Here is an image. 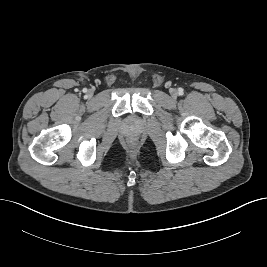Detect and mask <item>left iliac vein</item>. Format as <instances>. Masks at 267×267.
<instances>
[{"mask_svg": "<svg viewBox=\"0 0 267 267\" xmlns=\"http://www.w3.org/2000/svg\"><path fill=\"white\" fill-rule=\"evenodd\" d=\"M177 94H178L177 90H175V89H172V90H171V95H172V97H176Z\"/></svg>", "mask_w": 267, "mask_h": 267, "instance_id": "obj_1", "label": "left iliac vein"}]
</instances>
